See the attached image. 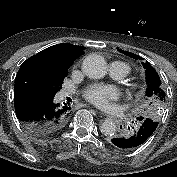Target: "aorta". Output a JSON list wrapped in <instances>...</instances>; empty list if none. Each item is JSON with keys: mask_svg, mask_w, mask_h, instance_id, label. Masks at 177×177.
<instances>
[{"mask_svg": "<svg viewBox=\"0 0 177 177\" xmlns=\"http://www.w3.org/2000/svg\"><path fill=\"white\" fill-rule=\"evenodd\" d=\"M82 71L92 79H100L107 71L105 59L98 54L88 55L82 63ZM101 132L106 136H112L116 132V125L111 119H105L100 126Z\"/></svg>", "mask_w": 177, "mask_h": 177, "instance_id": "obj_1", "label": "aorta"}]
</instances>
